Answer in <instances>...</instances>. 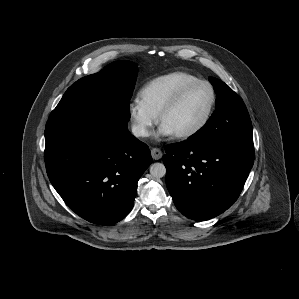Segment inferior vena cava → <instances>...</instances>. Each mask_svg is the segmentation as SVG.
<instances>
[{
	"label": "inferior vena cava",
	"mask_w": 299,
	"mask_h": 299,
	"mask_svg": "<svg viewBox=\"0 0 299 299\" xmlns=\"http://www.w3.org/2000/svg\"><path fill=\"white\" fill-rule=\"evenodd\" d=\"M132 134L135 137H146L148 136V131L141 125H134L132 127Z\"/></svg>",
	"instance_id": "602c4592"
}]
</instances>
